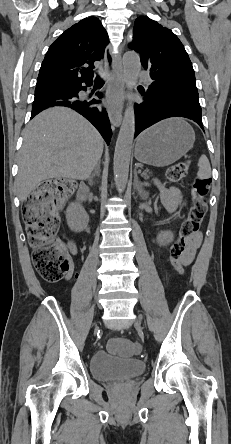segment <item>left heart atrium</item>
<instances>
[{"label": "left heart atrium", "mask_w": 231, "mask_h": 444, "mask_svg": "<svg viewBox=\"0 0 231 444\" xmlns=\"http://www.w3.org/2000/svg\"><path fill=\"white\" fill-rule=\"evenodd\" d=\"M121 100H122V96H121L120 94H115V95L112 97V101H113L115 104L120 103Z\"/></svg>", "instance_id": "obj_1"}]
</instances>
